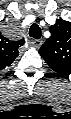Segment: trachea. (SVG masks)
Segmentation results:
<instances>
[{
    "mask_svg": "<svg viewBox=\"0 0 71 119\" xmlns=\"http://www.w3.org/2000/svg\"><path fill=\"white\" fill-rule=\"evenodd\" d=\"M29 36L35 39H40L41 29L37 24H33L29 30Z\"/></svg>",
    "mask_w": 71,
    "mask_h": 119,
    "instance_id": "obj_1",
    "label": "trachea"
}]
</instances>
